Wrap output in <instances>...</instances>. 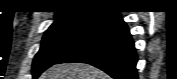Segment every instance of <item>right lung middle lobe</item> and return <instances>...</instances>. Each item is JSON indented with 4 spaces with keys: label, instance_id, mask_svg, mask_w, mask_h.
I'll return each mask as SVG.
<instances>
[{
    "label": "right lung middle lobe",
    "instance_id": "right-lung-middle-lobe-1",
    "mask_svg": "<svg viewBox=\"0 0 177 79\" xmlns=\"http://www.w3.org/2000/svg\"><path fill=\"white\" fill-rule=\"evenodd\" d=\"M101 20L102 17H87L53 23L45 32L41 48L34 58L33 78H37L44 70L83 41Z\"/></svg>",
    "mask_w": 177,
    "mask_h": 79
}]
</instances>
